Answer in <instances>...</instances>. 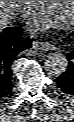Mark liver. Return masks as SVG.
Instances as JSON below:
<instances>
[{
	"instance_id": "6515ba94",
	"label": "liver",
	"mask_w": 74,
	"mask_h": 122,
	"mask_svg": "<svg viewBox=\"0 0 74 122\" xmlns=\"http://www.w3.org/2000/svg\"><path fill=\"white\" fill-rule=\"evenodd\" d=\"M22 1H0V28L3 29L12 21V17L21 7Z\"/></svg>"
}]
</instances>
